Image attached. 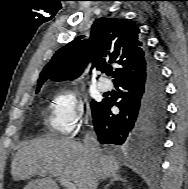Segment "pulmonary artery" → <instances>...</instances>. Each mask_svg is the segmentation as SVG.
<instances>
[{
  "label": "pulmonary artery",
  "mask_w": 188,
  "mask_h": 189,
  "mask_svg": "<svg viewBox=\"0 0 188 189\" xmlns=\"http://www.w3.org/2000/svg\"><path fill=\"white\" fill-rule=\"evenodd\" d=\"M97 86H98V89L102 92L109 91L110 88H111L110 82L108 80H105V79L99 80Z\"/></svg>",
  "instance_id": "obj_1"
}]
</instances>
